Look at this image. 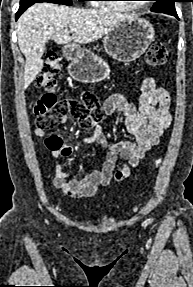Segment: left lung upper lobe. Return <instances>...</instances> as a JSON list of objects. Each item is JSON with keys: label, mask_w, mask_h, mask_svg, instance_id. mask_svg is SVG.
<instances>
[{"label": "left lung upper lobe", "mask_w": 193, "mask_h": 287, "mask_svg": "<svg viewBox=\"0 0 193 287\" xmlns=\"http://www.w3.org/2000/svg\"><path fill=\"white\" fill-rule=\"evenodd\" d=\"M156 1L153 7L151 8L152 12L157 13H166L175 12L174 2L178 0H153Z\"/></svg>", "instance_id": "5c2ea615"}]
</instances>
